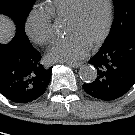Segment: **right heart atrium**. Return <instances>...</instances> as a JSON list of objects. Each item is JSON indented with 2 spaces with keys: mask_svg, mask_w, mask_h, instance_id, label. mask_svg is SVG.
Instances as JSON below:
<instances>
[{
  "mask_svg": "<svg viewBox=\"0 0 135 135\" xmlns=\"http://www.w3.org/2000/svg\"><path fill=\"white\" fill-rule=\"evenodd\" d=\"M29 39L38 45H47L53 40L51 17L45 11L31 12L25 22Z\"/></svg>",
  "mask_w": 135,
  "mask_h": 135,
  "instance_id": "obj_1",
  "label": "right heart atrium"
}]
</instances>
